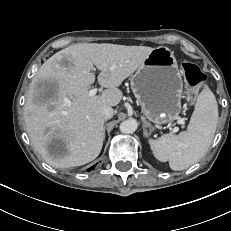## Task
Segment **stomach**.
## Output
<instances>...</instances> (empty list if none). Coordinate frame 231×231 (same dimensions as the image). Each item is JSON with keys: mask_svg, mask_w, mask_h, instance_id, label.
Instances as JSON below:
<instances>
[{"mask_svg": "<svg viewBox=\"0 0 231 231\" xmlns=\"http://www.w3.org/2000/svg\"><path fill=\"white\" fill-rule=\"evenodd\" d=\"M130 83L150 122L162 125L179 117L183 81L177 60L169 48H155L131 76Z\"/></svg>", "mask_w": 231, "mask_h": 231, "instance_id": "1", "label": "stomach"}]
</instances>
